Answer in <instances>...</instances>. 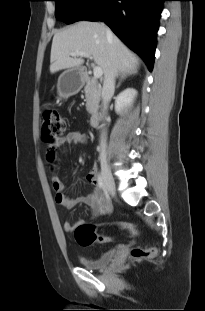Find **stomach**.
Here are the masks:
<instances>
[{"mask_svg": "<svg viewBox=\"0 0 205 311\" xmlns=\"http://www.w3.org/2000/svg\"><path fill=\"white\" fill-rule=\"evenodd\" d=\"M84 75L81 69H68L58 78L57 94L60 98H67L77 94L82 88Z\"/></svg>", "mask_w": 205, "mask_h": 311, "instance_id": "1", "label": "stomach"}]
</instances>
